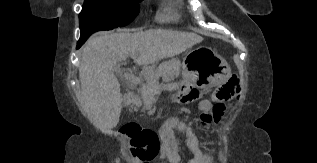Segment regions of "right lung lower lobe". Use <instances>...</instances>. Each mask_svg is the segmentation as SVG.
Listing matches in <instances>:
<instances>
[{
  "label": "right lung lower lobe",
  "mask_w": 317,
  "mask_h": 163,
  "mask_svg": "<svg viewBox=\"0 0 317 163\" xmlns=\"http://www.w3.org/2000/svg\"><path fill=\"white\" fill-rule=\"evenodd\" d=\"M84 42H78L77 48H79Z\"/></svg>",
  "instance_id": "obj_1"
}]
</instances>
